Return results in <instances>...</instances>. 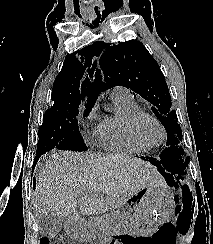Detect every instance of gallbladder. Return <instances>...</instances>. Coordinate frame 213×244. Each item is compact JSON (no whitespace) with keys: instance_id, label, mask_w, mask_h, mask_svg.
Wrapping results in <instances>:
<instances>
[{"instance_id":"gallbladder-1","label":"gallbladder","mask_w":213,"mask_h":244,"mask_svg":"<svg viewBox=\"0 0 213 244\" xmlns=\"http://www.w3.org/2000/svg\"><path fill=\"white\" fill-rule=\"evenodd\" d=\"M63 218L53 217L51 215H43L38 220L39 230L42 234L54 237L59 234L62 229Z\"/></svg>"}]
</instances>
